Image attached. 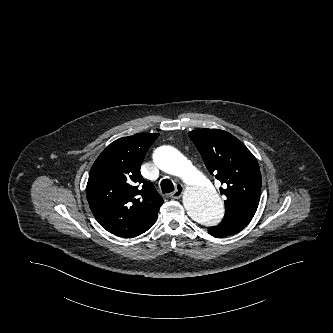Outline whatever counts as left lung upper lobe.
Instances as JSON below:
<instances>
[{"mask_svg": "<svg viewBox=\"0 0 333 333\" xmlns=\"http://www.w3.org/2000/svg\"><path fill=\"white\" fill-rule=\"evenodd\" d=\"M189 137L200 152L208 171L221 181L226 196L222 222L247 226L260 199L261 173L253 154L230 133L218 129H198Z\"/></svg>", "mask_w": 333, "mask_h": 333, "instance_id": "5c2ea615", "label": "left lung upper lobe"}]
</instances>
